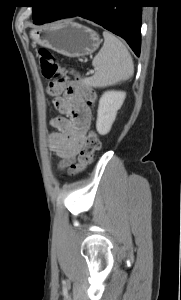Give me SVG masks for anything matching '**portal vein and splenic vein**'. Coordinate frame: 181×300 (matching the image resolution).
Here are the masks:
<instances>
[{
    "label": "portal vein and splenic vein",
    "instance_id": "obj_1",
    "mask_svg": "<svg viewBox=\"0 0 181 300\" xmlns=\"http://www.w3.org/2000/svg\"><path fill=\"white\" fill-rule=\"evenodd\" d=\"M94 73V70H90L87 75Z\"/></svg>",
    "mask_w": 181,
    "mask_h": 300
}]
</instances>
